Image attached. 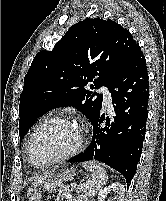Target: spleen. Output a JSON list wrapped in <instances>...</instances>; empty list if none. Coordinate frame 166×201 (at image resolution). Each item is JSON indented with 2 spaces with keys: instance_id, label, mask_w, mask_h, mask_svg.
Instances as JSON below:
<instances>
[{
  "instance_id": "3e777b00",
  "label": "spleen",
  "mask_w": 166,
  "mask_h": 201,
  "mask_svg": "<svg viewBox=\"0 0 166 201\" xmlns=\"http://www.w3.org/2000/svg\"><path fill=\"white\" fill-rule=\"evenodd\" d=\"M82 166L92 174L91 179L87 180L86 183L81 184L79 189L83 191V194H78L75 201H88V197L94 196L96 192L106 184L108 179L106 170L98 163L85 162Z\"/></svg>"
}]
</instances>
